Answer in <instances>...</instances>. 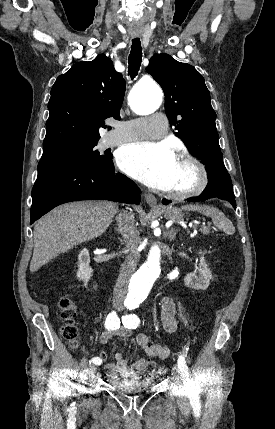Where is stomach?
Masks as SVG:
<instances>
[{"label":"stomach","instance_id":"stomach-1","mask_svg":"<svg viewBox=\"0 0 275 429\" xmlns=\"http://www.w3.org/2000/svg\"><path fill=\"white\" fill-rule=\"evenodd\" d=\"M162 214H164V217L167 220H182L183 219V213L181 210L175 207H164L158 209Z\"/></svg>","mask_w":275,"mask_h":429}]
</instances>
